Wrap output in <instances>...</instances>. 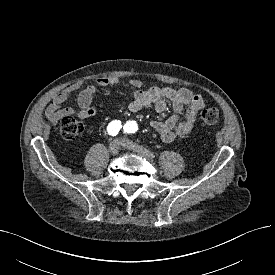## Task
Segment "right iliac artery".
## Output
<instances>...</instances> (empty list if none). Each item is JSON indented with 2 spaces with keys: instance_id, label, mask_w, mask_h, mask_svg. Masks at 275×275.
<instances>
[{
  "instance_id": "right-iliac-artery-1",
  "label": "right iliac artery",
  "mask_w": 275,
  "mask_h": 275,
  "mask_svg": "<svg viewBox=\"0 0 275 275\" xmlns=\"http://www.w3.org/2000/svg\"><path fill=\"white\" fill-rule=\"evenodd\" d=\"M121 128H122L121 121L113 120L108 124L107 131L109 135L116 136Z\"/></svg>"
}]
</instances>
